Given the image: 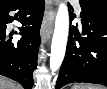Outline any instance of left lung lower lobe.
Returning <instances> with one entry per match:
<instances>
[{"label": "left lung lower lobe", "instance_id": "left-lung-lower-lobe-1", "mask_svg": "<svg viewBox=\"0 0 107 89\" xmlns=\"http://www.w3.org/2000/svg\"><path fill=\"white\" fill-rule=\"evenodd\" d=\"M82 34L72 28L56 89L72 82L107 86V11L81 6Z\"/></svg>", "mask_w": 107, "mask_h": 89}]
</instances>
